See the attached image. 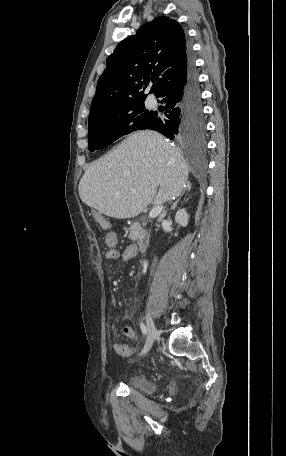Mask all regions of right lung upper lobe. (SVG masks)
<instances>
[{
    "mask_svg": "<svg viewBox=\"0 0 286 456\" xmlns=\"http://www.w3.org/2000/svg\"><path fill=\"white\" fill-rule=\"evenodd\" d=\"M190 60L184 31L175 20L158 17L144 24L107 58L88 121L114 106L144 101L149 82L156 81L150 93L159 95L185 77Z\"/></svg>",
    "mask_w": 286,
    "mask_h": 456,
    "instance_id": "1",
    "label": "right lung upper lobe"
}]
</instances>
